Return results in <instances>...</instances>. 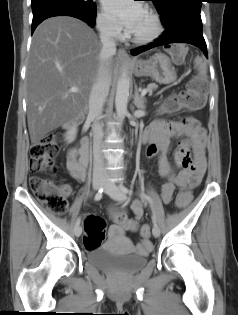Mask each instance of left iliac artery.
Returning <instances> with one entry per match:
<instances>
[{"label":"left iliac artery","instance_id":"44dca946","mask_svg":"<svg viewBox=\"0 0 238 315\" xmlns=\"http://www.w3.org/2000/svg\"><path fill=\"white\" fill-rule=\"evenodd\" d=\"M119 187H120L121 191L125 194H131L132 193V191L129 190L127 187H125L122 183H120ZM141 196L149 202L150 206L153 209V201H152L151 197L144 194V193H142ZM152 221H153L154 226H157L156 216H155L154 212L152 214Z\"/></svg>","mask_w":238,"mask_h":315}]
</instances>
